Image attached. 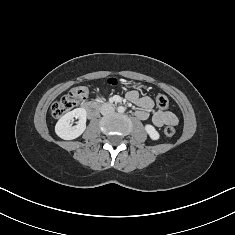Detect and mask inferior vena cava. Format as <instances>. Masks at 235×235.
Returning <instances> with one entry per match:
<instances>
[{
    "mask_svg": "<svg viewBox=\"0 0 235 235\" xmlns=\"http://www.w3.org/2000/svg\"><path fill=\"white\" fill-rule=\"evenodd\" d=\"M113 111H114V108L111 104H104L100 110L102 115H109L113 113Z\"/></svg>",
    "mask_w": 235,
    "mask_h": 235,
    "instance_id": "inferior-vena-cava-1",
    "label": "inferior vena cava"
}]
</instances>
